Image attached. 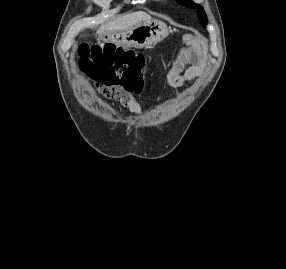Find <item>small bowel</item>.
Masks as SVG:
<instances>
[{
	"instance_id": "obj_1",
	"label": "small bowel",
	"mask_w": 286,
	"mask_h": 269,
	"mask_svg": "<svg viewBox=\"0 0 286 269\" xmlns=\"http://www.w3.org/2000/svg\"><path fill=\"white\" fill-rule=\"evenodd\" d=\"M207 53L204 44L199 39H187L186 47L174 57L166 74V80L171 87L178 88L184 83L201 76L205 70ZM130 111L141 114L142 107L134 99L130 91L117 88L113 97Z\"/></svg>"
}]
</instances>
